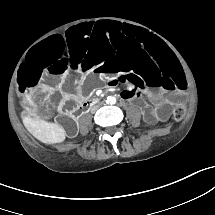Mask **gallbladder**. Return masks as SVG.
Returning <instances> with one entry per match:
<instances>
[{"label":"gallbladder","instance_id":"gallbladder-1","mask_svg":"<svg viewBox=\"0 0 215 215\" xmlns=\"http://www.w3.org/2000/svg\"><path fill=\"white\" fill-rule=\"evenodd\" d=\"M37 112H38L39 116H41L42 118H44L46 120L53 118V116L55 114L53 107H51V105H49L47 103H43V104L39 105Z\"/></svg>","mask_w":215,"mask_h":215}]
</instances>
